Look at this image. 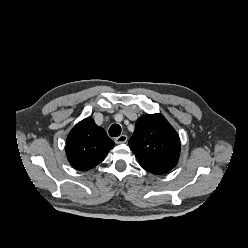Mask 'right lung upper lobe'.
Returning <instances> with one entry per match:
<instances>
[{
	"label": "right lung upper lobe",
	"mask_w": 248,
	"mask_h": 248,
	"mask_svg": "<svg viewBox=\"0 0 248 248\" xmlns=\"http://www.w3.org/2000/svg\"><path fill=\"white\" fill-rule=\"evenodd\" d=\"M114 147V142L94 120L86 118L70 131L66 140V155L72 167L80 171L101 163Z\"/></svg>",
	"instance_id": "1"
}]
</instances>
